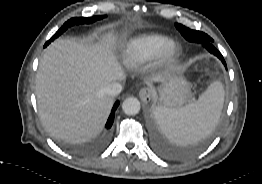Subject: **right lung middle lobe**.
Returning a JSON list of instances; mask_svg holds the SVG:
<instances>
[{"label": "right lung middle lobe", "mask_w": 262, "mask_h": 184, "mask_svg": "<svg viewBox=\"0 0 262 184\" xmlns=\"http://www.w3.org/2000/svg\"><path fill=\"white\" fill-rule=\"evenodd\" d=\"M104 17H105L104 15H99V16L88 17V18H84V17L72 18L64 23V25L52 36V38L48 42H46L45 46H47L51 41H53L59 35H61L68 27L73 26L74 24H84V23L88 24L96 20H100Z\"/></svg>", "instance_id": "obj_1"}]
</instances>
